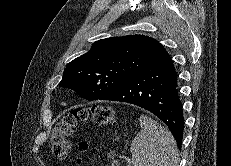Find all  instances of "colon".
I'll return each instance as SVG.
<instances>
[{
  "instance_id": "5ec220e1",
  "label": "colon",
  "mask_w": 231,
  "mask_h": 166,
  "mask_svg": "<svg viewBox=\"0 0 231 166\" xmlns=\"http://www.w3.org/2000/svg\"><path fill=\"white\" fill-rule=\"evenodd\" d=\"M91 119L96 126H106L115 121V113L108 105H93L90 108H75L65 114L55 125L51 147L54 155L59 159H66L70 150V138L73 130L80 123ZM85 141L80 143L82 150L87 149ZM81 158L77 159V164H81Z\"/></svg>"
}]
</instances>
